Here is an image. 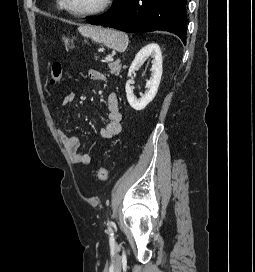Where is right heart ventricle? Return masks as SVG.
<instances>
[{"label": "right heart ventricle", "instance_id": "e07e8e85", "mask_svg": "<svg viewBox=\"0 0 255 272\" xmlns=\"http://www.w3.org/2000/svg\"><path fill=\"white\" fill-rule=\"evenodd\" d=\"M57 8H58L59 10H63V7H62V5H61V1H60V0H57Z\"/></svg>", "mask_w": 255, "mask_h": 272}]
</instances>
